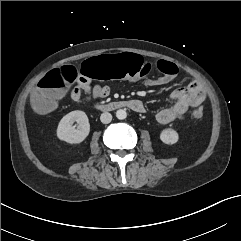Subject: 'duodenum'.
Returning a JSON list of instances; mask_svg holds the SVG:
<instances>
[{"instance_id": "1", "label": "duodenum", "mask_w": 241, "mask_h": 241, "mask_svg": "<svg viewBox=\"0 0 241 241\" xmlns=\"http://www.w3.org/2000/svg\"><path fill=\"white\" fill-rule=\"evenodd\" d=\"M125 107H133V104L130 101L122 100L96 104V108L101 111H113Z\"/></svg>"}]
</instances>
